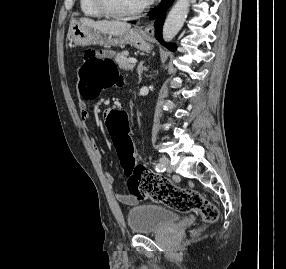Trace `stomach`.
<instances>
[{"instance_id":"0dacf381","label":"stomach","mask_w":286,"mask_h":269,"mask_svg":"<svg viewBox=\"0 0 286 269\" xmlns=\"http://www.w3.org/2000/svg\"><path fill=\"white\" fill-rule=\"evenodd\" d=\"M68 39L77 46L100 44L111 47L130 44L142 51H150L152 48V45L149 43L143 31L138 28L130 29L118 38H112L110 35L102 36L100 32L92 30L76 20L70 22Z\"/></svg>"}]
</instances>
